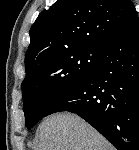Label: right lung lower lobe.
<instances>
[{
    "mask_svg": "<svg viewBox=\"0 0 139 150\" xmlns=\"http://www.w3.org/2000/svg\"><path fill=\"white\" fill-rule=\"evenodd\" d=\"M76 113L118 150H139V19L115 35L92 71L46 112Z\"/></svg>",
    "mask_w": 139,
    "mask_h": 150,
    "instance_id": "obj_1",
    "label": "right lung lower lobe"
}]
</instances>
